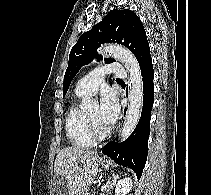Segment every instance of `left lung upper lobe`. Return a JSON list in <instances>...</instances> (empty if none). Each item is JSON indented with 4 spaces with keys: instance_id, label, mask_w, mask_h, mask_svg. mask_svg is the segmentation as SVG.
<instances>
[{
    "instance_id": "obj_1",
    "label": "left lung upper lobe",
    "mask_w": 211,
    "mask_h": 195,
    "mask_svg": "<svg viewBox=\"0 0 211 195\" xmlns=\"http://www.w3.org/2000/svg\"><path fill=\"white\" fill-rule=\"evenodd\" d=\"M107 42H115L127 47L134 53L140 66L151 57L146 32L140 18L130 10L110 11L101 22L82 34L73 46L64 76V96L79 69L95 57L102 58L96 50L101 44ZM113 61L108 58L105 63Z\"/></svg>"
}]
</instances>
